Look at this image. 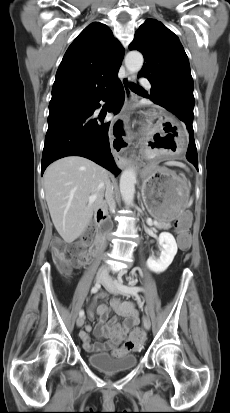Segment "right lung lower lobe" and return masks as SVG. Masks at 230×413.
I'll return each mask as SVG.
<instances>
[{
    "mask_svg": "<svg viewBox=\"0 0 230 413\" xmlns=\"http://www.w3.org/2000/svg\"><path fill=\"white\" fill-rule=\"evenodd\" d=\"M115 97L109 111L118 113L124 101V89L117 78L115 83L92 101L82 103L70 109L49 113L48 130L41 162V174L53 161L66 156H82L115 175L120 173L111 154L108 130L104 116L94 117V111L100 107L99 101Z\"/></svg>",
    "mask_w": 230,
    "mask_h": 413,
    "instance_id": "right-lung-lower-lobe-1",
    "label": "right lung lower lobe"
}]
</instances>
